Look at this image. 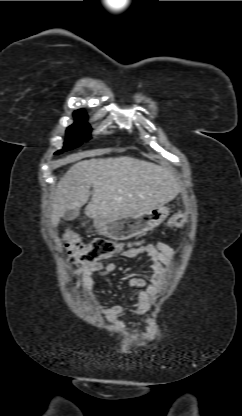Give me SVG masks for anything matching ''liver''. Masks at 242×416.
<instances>
[{"mask_svg":"<svg viewBox=\"0 0 242 416\" xmlns=\"http://www.w3.org/2000/svg\"><path fill=\"white\" fill-rule=\"evenodd\" d=\"M92 219L143 213L172 201L182 190L172 168L129 156L93 158L74 164L57 184L51 223L57 227L67 210L84 206Z\"/></svg>","mask_w":242,"mask_h":416,"instance_id":"1","label":"liver"}]
</instances>
